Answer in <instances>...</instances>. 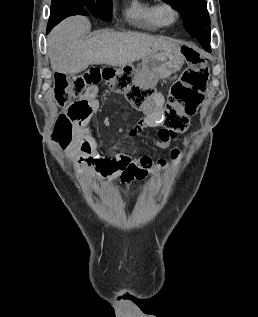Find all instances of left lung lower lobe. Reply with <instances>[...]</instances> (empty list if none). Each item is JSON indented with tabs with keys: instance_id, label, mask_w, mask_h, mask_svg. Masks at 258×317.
<instances>
[{
	"instance_id": "0a47b994",
	"label": "left lung lower lobe",
	"mask_w": 258,
	"mask_h": 317,
	"mask_svg": "<svg viewBox=\"0 0 258 317\" xmlns=\"http://www.w3.org/2000/svg\"><path fill=\"white\" fill-rule=\"evenodd\" d=\"M193 38H196L200 44L203 46V48L207 51H210V33L208 34H196Z\"/></svg>"
}]
</instances>
